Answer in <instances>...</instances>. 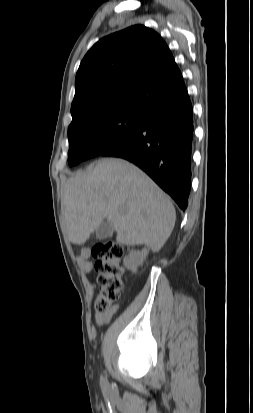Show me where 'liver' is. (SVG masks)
<instances>
[{"instance_id":"liver-1","label":"liver","mask_w":253,"mask_h":413,"mask_svg":"<svg viewBox=\"0 0 253 413\" xmlns=\"http://www.w3.org/2000/svg\"><path fill=\"white\" fill-rule=\"evenodd\" d=\"M62 215L69 240L82 245L104 219L117 242L147 245L158 252L175 225L169 197L135 165L118 158L101 159L67 180Z\"/></svg>"}]
</instances>
